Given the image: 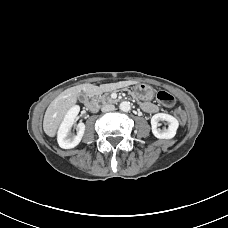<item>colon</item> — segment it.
I'll list each match as a JSON object with an SVG mask.
<instances>
[{
	"label": "colon",
	"mask_w": 228,
	"mask_h": 228,
	"mask_svg": "<svg viewBox=\"0 0 228 228\" xmlns=\"http://www.w3.org/2000/svg\"><path fill=\"white\" fill-rule=\"evenodd\" d=\"M157 99L165 106H172L175 103V98L166 91H159L157 93ZM174 113L181 124L186 122V112L182 108H177Z\"/></svg>",
	"instance_id": "1"
}]
</instances>
